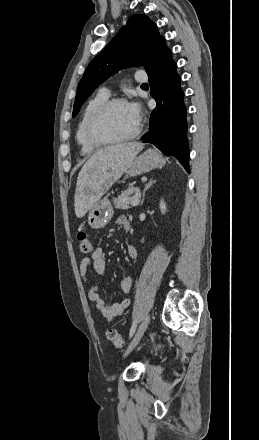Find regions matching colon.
Segmentation results:
<instances>
[{
    "label": "colon",
    "instance_id": "1",
    "mask_svg": "<svg viewBox=\"0 0 259 440\" xmlns=\"http://www.w3.org/2000/svg\"><path fill=\"white\" fill-rule=\"evenodd\" d=\"M77 249L81 254H89L92 251L91 240L84 231L79 232L77 235ZM107 338L117 348L124 345L123 336L115 329H110L107 332Z\"/></svg>",
    "mask_w": 259,
    "mask_h": 440
}]
</instances>
